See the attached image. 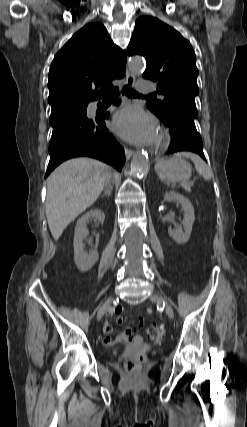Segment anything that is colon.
I'll use <instances>...</instances> for the list:
<instances>
[{"mask_svg":"<svg viewBox=\"0 0 247 427\" xmlns=\"http://www.w3.org/2000/svg\"><path fill=\"white\" fill-rule=\"evenodd\" d=\"M147 335L153 341H161L165 336V330L160 326L151 325L147 329ZM125 365L129 371H134L138 367V361L134 358H128Z\"/></svg>","mask_w":247,"mask_h":427,"instance_id":"1","label":"colon"}]
</instances>
